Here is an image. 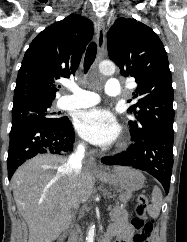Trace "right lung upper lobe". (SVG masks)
<instances>
[{"instance_id": "cb5924a9", "label": "right lung upper lobe", "mask_w": 187, "mask_h": 242, "mask_svg": "<svg viewBox=\"0 0 187 242\" xmlns=\"http://www.w3.org/2000/svg\"><path fill=\"white\" fill-rule=\"evenodd\" d=\"M93 32L91 20L72 14L39 33L19 69L13 106L52 102L58 91L56 81L75 73Z\"/></svg>"}]
</instances>
